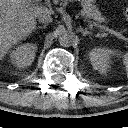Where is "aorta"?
I'll return each mask as SVG.
<instances>
[{"mask_svg": "<svg viewBox=\"0 0 128 128\" xmlns=\"http://www.w3.org/2000/svg\"><path fill=\"white\" fill-rule=\"evenodd\" d=\"M73 40H74V35H73L72 32H70V31H68L66 29H63L60 32V35H59V43H60V45L68 47V46L71 45Z\"/></svg>", "mask_w": 128, "mask_h": 128, "instance_id": "obj_1", "label": "aorta"}]
</instances>
